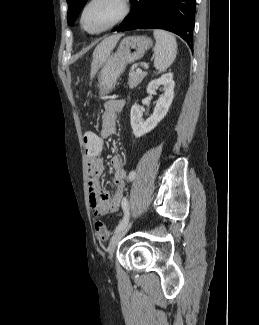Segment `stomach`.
I'll use <instances>...</instances> for the list:
<instances>
[{
    "label": "stomach",
    "instance_id": "0dacf381",
    "mask_svg": "<svg viewBox=\"0 0 259 325\" xmlns=\"http://www.w3.org/2000/svg\"><path fill=\"white\" fill-rule=\"evenodd\" d=\"M152 44V40L146 36H128L122 39L117 51L109 55L102 65L98 77L100 93H110L126 66L140 60Z\"/></svg>",
    "mask_w": 259,
    "mask_h": 325
}]
</instances>
